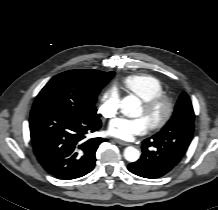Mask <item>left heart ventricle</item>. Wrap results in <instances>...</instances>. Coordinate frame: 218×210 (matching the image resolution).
Returning <instances> with one entry per match:
<instances>
[{
  "instance_id": "1",
  "label": "left heart ventricle",
  "mask_w": 218,
  "mask_h": 210,
  "mask_svg": "<svg viewBox=\"0 0 218 210\" xmlns=\"http://www.w3.org/2000/svg\"><path fill=\"white\" fill-rule=\"evenodd\" d=\"M162 114H163V108L162 107H159L156 110H154L153 112L148 113V112L145 111L144 107L141 106L140 111L138 113V116L145 117L147 119V121L149 122V124H150L152 121H154V120L158 119L159 117H161Z\"/></svg>"
}]
</instances>
